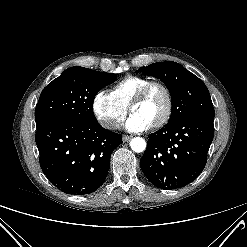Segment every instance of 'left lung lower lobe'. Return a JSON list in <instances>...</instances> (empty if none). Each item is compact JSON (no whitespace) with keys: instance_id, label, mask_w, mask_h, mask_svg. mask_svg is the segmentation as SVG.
I'll list each match as a JSON object with an SVG mask.
<instances>
[{"instance_id":"0a47b994","label":"left lung lower lobe","mask_w":247,"mask_h":247,"mask_svg":"<svg viewBox=\"0 0 247 247\" xmlns=\"http://www.w3.org/2000/svg\"><path fill=\"white\" fill-rule=\"evenodd\" d=\"M213 120L188 116L166 124L149 136L140 166L147 179L161 189H178L203 171L213 140Z\"/></svg>"}]
</instances>
